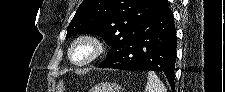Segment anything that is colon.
<instances>
[{
    "label": "colon",
    "instance_id": "5ec220e1",
    "mask_svg": "<svg viewBox=\"0 0 225 92\" xmlns=\"http://www.w3.org/2000/svg\"><path fill=\"white\" fill-rule=\"evenodd\" d=\"M57 91L58 92H64L65 91V87H64V82L63 81L59 82Z\"/></svg>",
    "mask_w": 225,
    "mask_h": 92
}]
</instances>
